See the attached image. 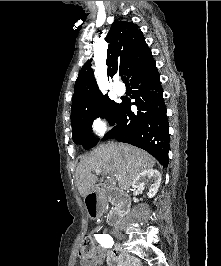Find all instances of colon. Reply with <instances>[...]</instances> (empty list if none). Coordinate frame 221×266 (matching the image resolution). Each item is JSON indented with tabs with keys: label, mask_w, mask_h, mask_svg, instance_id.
Here are the masks:
<instances>
[{
	"label": "colon",
	"mask_w": 221,
	"mask_h": 266,
	"mask_svg": "<svg viewBox=\"0 0 221 266\" xmlns=\"http://www.w3.org/2000/svg\"><path fill=\"white\" fill-rule=\"evenodd\" d=\"M79 257L82 261H92L96 257V248L90 235H85L80 243Z\"/></svg>",
	"instance_id": "1"
}]
</instances>
